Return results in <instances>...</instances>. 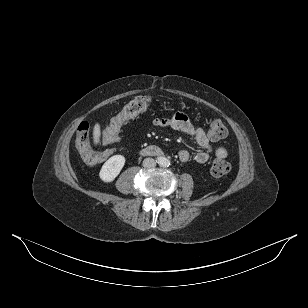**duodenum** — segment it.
I'll return each instance as SVG.
<instances>
[{"instance_id":"duodenum-1","label":"duodenum","mask_w":308,"mask_h":308,"mask_svg":"<svg viewBox=\"0 0 308 308\" xmlns=\"http://www.w3.org/2000/svg\"><path fill=\"white\" fill-rule=\"evenodd\" d=\"M141 153L146 156H160L162 155V150L157 146H149L144 148Z\"/></svg>"}]
</instances>
